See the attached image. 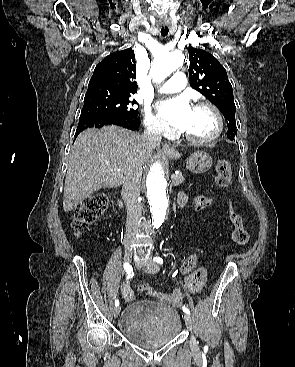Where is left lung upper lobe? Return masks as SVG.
Listing matches in <instances>:
<instances>
[{"mask_svg":"<svg viewBox=\"0 0 295 367\" xmlns=\"http://www.w3.org/2000/svg\"><path fill=\"white\" fill-rule=\"evenodd\" d=\"M189 79L193 89L208 98L227 120L230 139L237 135L233 89L227 72L210 53L196 48L189 49Z\"/></svg>","mask_w":295,"mask_h":367,"instance_id":"left-lung-upper-lobe-1","label":"left lung upper lobe"}]
</instances>
